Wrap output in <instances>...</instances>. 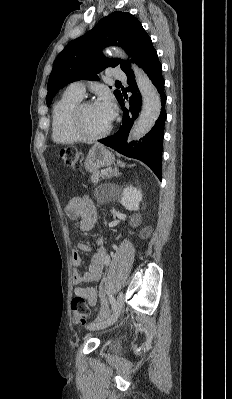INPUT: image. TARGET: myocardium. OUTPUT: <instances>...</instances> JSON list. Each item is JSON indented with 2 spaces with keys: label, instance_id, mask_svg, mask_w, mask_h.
<instances>
[{
  "label": "myocardium",
  "instance_id": "myocardium-1",
  "mask_svg": "<svg viewBox=\"0 0 232 399\" xmlns=\"http://www.w3.org/2000/svg\"><path fill=\"white\" fill-rule=\"evenodd\" d=\"M94 104L93 101H80L72 110L70 117H69V128L71 133L76 137L79 141H84V142H97L100 140L105 139L112 131L113 126L110 124L108 129L99 135L96 136H89L86 135L85 133L82 132L80 125H79V120L81 113L83 110L87 107H90Z\"/></svg>",
  "mask_w": 232,
  "mask_h": 399
}]
</instances>
